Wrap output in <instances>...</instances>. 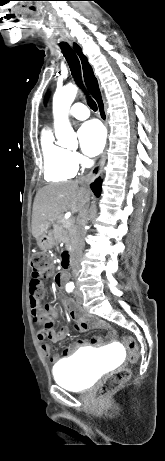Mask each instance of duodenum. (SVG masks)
<instances>
[{
  "instance_id": "1",
  "label": "duodenum",
  "mask_w": 165,
  "mask_h": 461,
  "mask_svg": "<svg viewBox=\"0 0 165 461\" xmlns=\"http://www.w3.org/2000/svg\"><path fill=\"white\" fill-rule=\"evenodd\" d=\"M62 260L64 262V267L68 268L71 265L72 257L69 250H65L62 254Z\"/></svg>"
}]
</instances>
